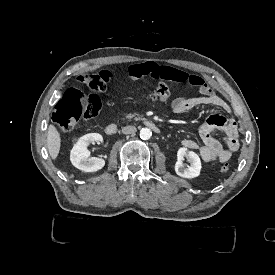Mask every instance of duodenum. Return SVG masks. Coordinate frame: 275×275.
Here are the masks:
<instances>
[{"mask_svg":"<svg viewBox=\"0 0 275 275\" xmlns=\"http://www.w3.org/2000/svg\"><path fill=\"white\" fill-rule=\"evenodd\" d=\"M145 125L156 134H159L161 132L160 127L150 120L145 121ZM117 131H118L117 125L113 124V123L108 124L105 128L106 134L110 135V136L115 135L117 133Z\"/></svg>","mask_w":275,"mask_h":275,"instance_id":"duodenum-1","label":"duodenum"}]
</instances>
